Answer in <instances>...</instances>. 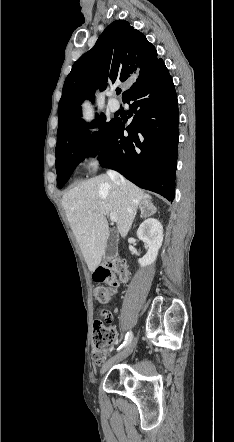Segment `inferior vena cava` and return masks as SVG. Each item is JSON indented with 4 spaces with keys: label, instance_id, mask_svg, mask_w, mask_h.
<instances>
[{
    "label": "inferior vena cava",
    "instance_id": "602c4592",
    "mask_svg": "<svg viewBox=\"0 0 234 442\" xmlns=\"http://www.w3.org/2000/svg\"><path fill=\"white\" fill-rule=\"evenodd\" d=\"M107 174L116 184L120 185L125 183L124 178L118 172L109 170Z\"/></svg>",
    "mask_w": 234,
    "mask_h": 442
}]
</instances>
